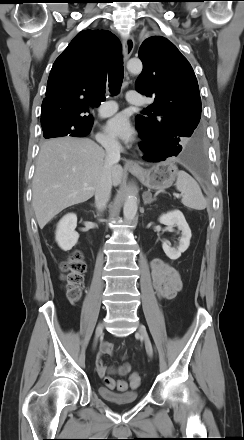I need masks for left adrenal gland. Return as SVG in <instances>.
<instances>
[{
	"instance_id": "1",
	"label": "left adrenal gland",
	"mask_w": 244,
	"mask_h": 440,
	"mask_svg": "<svg viewBox=\"0 0 244 440\" xmlns=\"http://www.w3.org/2000/svg\"><path fill=\"white\" fill-rule=\"evenodd\" d=\"M155 200H156V198H152L151 193H147V194L143 195L144 205L151 204Z\"/></svg>"
}]
</instances>
